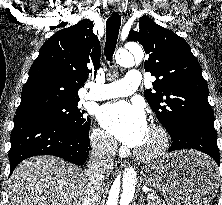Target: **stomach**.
I'll list each match as a JSON object with an SVG mask.
<instances>
[{
    "label": "stomach",
    "instance_id": "1",
    "mask_svg": "<svg viewBox=\"0 0 222 205\" xmlns=\"http://www.w3.org/2000/svg\"><path fill=\"white\" fill-rule=\"evenodd\" d=\"M144 182L162 192L168 205H208L218 189V175L209 157L179 151L150 165Z\"/></svg>",
    "mask_w": 222,
    "mask_h": 205
}]
</instances>
